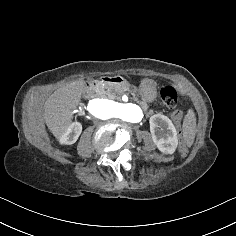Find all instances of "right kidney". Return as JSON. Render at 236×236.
Wrapping results in <instances>:
<instances>
[{
  "instance_id": "right-kidney-1",
  "label": "right kidney",
  "mask_w": 236,
  "mask_h": 236,
  "mask_svg": "<svg viewBox=\"0 0 236 236\" xmlns=\"http://www.w3.org/2000/svg\"><path fill=\"white\" fill-rule=\"evenodd\" d=\"M82 131V126L80 123H73L70 128L67 130V132L60 137L59 139H57L60 143H64V144H73L77 141V139L79 138L80 134Z\"/></svg>"
}]
</instances>
